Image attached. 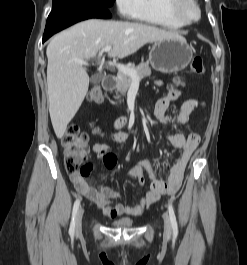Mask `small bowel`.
<instances>
[{
	"instance_id": "1",
	"label": "small bowel",
	"mask_w": 247,
	"mask_h": 265,
	"mask_svg": "<svg viewBox=\"0 0 247 265\" xmlns=\"http://www.w3.org/2000/svg\"><path fill=\"white\" fill-rule=\"evenodd\" d=\"M158 84H161V82H158ZM179 96V91L172 90L166 97L161 98L156 102L154 116L158 123L165 128L172 125L181 126L186 124L190 115L196 109L205 106V103L202 100L191 98L182 103L175 117H166V111L170 103L176 100ZM128 137L129 134L127 132L113 133L110 136L111 140L117 143L125 142ZM164 139L170 144V146L180 152V157L171 167L167 181L158 180L152 166L145 159L140 160L136 165L129 169L127 174L134 178L141 186L146 184L145 175H147L149 179L148 189L136 205L122 204L120 202L121 196L119 193L101 183L89 184L84 176L70 175V179L76 190L101 209L105 216L115 218L122 215H141L162 196L173 195L178 191L182 184L187 164L193 152L199 145L200 134L199 132H193L188 135L183 133H166ZM92 153L96 155L108 169H113L117 164L116 155L106 143L95 144L92 148Z\"/></svg>"
}]
</instances>
